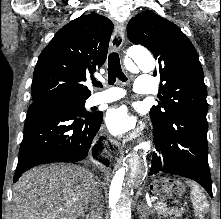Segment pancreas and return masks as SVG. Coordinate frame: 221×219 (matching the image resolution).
<instances>
[{"instance_id":"pancreas-1","label":"pancreas","mask_w":221,"mask_h":219,"mask_svg":"<svg viewBox=\"0 0 221 219\" xmlns=\"http://www.w3.org/2000/svg\"><path fill=\"white\" fill-rule=\"evenodd\" d=\"M154 211L157 212L159 218L170 217L171 219H176L178 217H181L184 213L183 209L168 208L165 204L156 205Z\"/></svg>"}]
</instances>
